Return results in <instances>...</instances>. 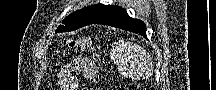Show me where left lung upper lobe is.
Here are the masks:
<instances>
[{
    "label": "left lung upper lobe",
    "instance_id": "5c2ea615",
    "mask_svg": "<svg viewBox=\"0 0 216 90\" xmlns=\"http://www.w3.org/2000/svg\"><path fill=\"white\" fill-rule=\"evenodd\" d=\"M119 8L120 7L118 6H110L99 3L78 10L67 16L62 21L63 25H60L56 32H69L83 26L93 24Z\"/></svg>",
    "mask_w": 216,
    "mask_h": 90
}]
</instances>
